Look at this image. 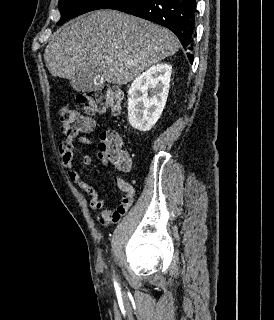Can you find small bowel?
Returning <instances> with one entry per match:
<instances>
[{
	"mask_svg": "<svg viewBox=\"0 0 274 320\" xmlns=\"http://www.w3.org/2000/svg\"><path fill=\"white\" fill-rule=\"evenodd\" d=\"M84 124L86 128L83 132H88L93 129L95 121L94 119H85ZM93 144V139L87 136H81L79 138L75 136H68L59 145V156L61 165L67 171L70 181L76 185L83 194L89 197L90 208L92 210H101L106 204V199L100 197L96 188L82 180L79 173L74 168V158L77 155H81L83 166H89L91 164V157L88 154L83 153L79 145L92 146ZM97 154L101 159L106 158V152L100 147ZM120 161H132V158L124 151ZM119 169L122 172H128L131 170V168ZM116 183L119 190L123 192V196L117 206L110 209H103L98 215V221L104 226L117 223L128 211L134 201V187L125 181L119 174L116 175Z\"/></svg>",
	"mask_w": 274,
	"mask_h": 320,
	"instance_id": "1",
	"label": "small bowel"
}]
</instances>
